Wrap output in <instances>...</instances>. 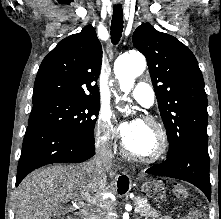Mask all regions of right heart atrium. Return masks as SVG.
Listing matches in <instances>:
<instances>
[{
    "label": "right heart atrium",
    "instance_id": "d8ad5b80",
    "mask_svg": "<svg viewBox=\"0 0 221 219\" xmlns=\"http://www.w3.org/2000/svg\"><path fill=\"white\" fill-rule=\"evenodd\" d=\"M113 126L110 114L101 111L95 125V142L102 149H110L112 145Z\"/></svg>",
    "mask_w": 221,
    "mask_h": 219
}]
</instances>
